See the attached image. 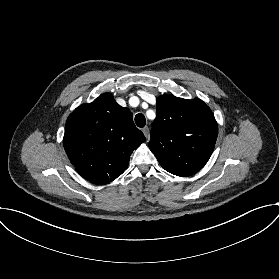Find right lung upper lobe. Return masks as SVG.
<instances>
[{
  "mask_svg": "<svg viewBox=\"0 0 279 279\" xmlns=\"http://www.w3.org/2000/svg\"><path fill=\"white\" fill-rule=\"evenodd\" d=\"M144 141L131 111L104 93L70 114L63 144L77 172L89 182L102 185L124 172L132 151Z\"/></svg>",
  "mask_w": 279,
  "mask_h": 279,
  "instance_id": "1",
  "label": "right lung upper lobe"
}]
</instances>
